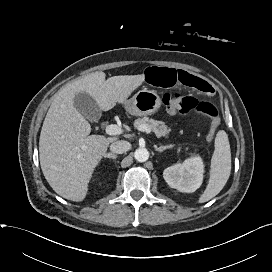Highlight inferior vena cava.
<instances>
[{
  "instance_id": "inferior-vena-cava-1",
  "label": "inferior vena cava",
  "mask_w": 272,
  "mask_h": 272,
  "mask_svg": "<svg viewBox=\"0 0 272 272\" xmlns=\"http://www.w3.org/2000/svg\"><path fill=\"white\" fill-rule=\"evenodd\" d=\"M130 148H131V144L128 141H124V140L115 141L110 145V151L116 154L125 153Z\"/></svg>"
}]
</instances>
